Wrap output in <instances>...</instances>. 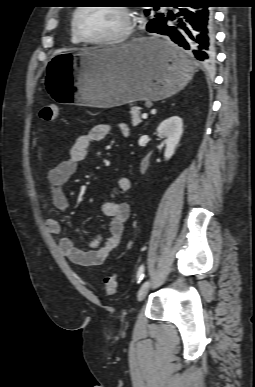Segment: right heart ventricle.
I'll return each instance as SVG.
<instances>
[{
	"label": "right heart ventricle",
	"mask_w": 255,
	"mask_h": 387,
	"mask_svg": "<svg viewBox=\"0 0 255 387\" xmlns=\"http://www.w3.org/2000/svg\"><path fill=\"white\" fill-rule=\"evenodd\" d=\"M70 40L72 43L74 44H78L80 43V41L76 38V36L73 34L72 30H71V34H70Z\"/></svg>",
	"instance_id": "obj_1"
}]
</instances>
